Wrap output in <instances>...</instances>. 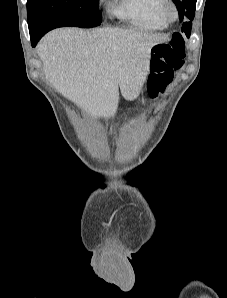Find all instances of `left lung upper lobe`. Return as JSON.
I'll return each instance as SVG.
<instances>
[{
	"mask_svg": "<svg viewBox=\"0 0 227 298\" xmlns=\"http://www.w3.org/2000/svg\"><path fill=\"white\" fill-rule=\"evenodd\" d=\"M197 0H173L179 11L180 20L190 19L193 20L195 14V6ZM192 23L189 21H184L182 23L181 31L186 34L189 38L191 33Z\"/></svg>",
	"mask_w": 227,
	"mask_h": 298,
	"instance_id": "left-lung-upper-lobe-1",
	"label": "left lung upper lobe"
}]
</instances>
